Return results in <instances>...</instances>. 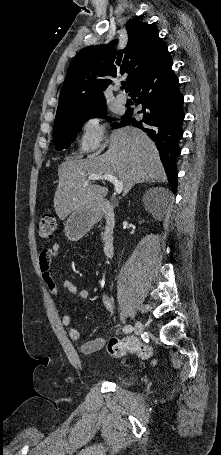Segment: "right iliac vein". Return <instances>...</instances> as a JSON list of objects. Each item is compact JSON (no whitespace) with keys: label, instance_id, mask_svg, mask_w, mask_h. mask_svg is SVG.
<instances>
[{"label":"right iliac vein","instance_id":"1","mask_svg":"<svg viewBox=\"0 0 221 455\" xmlns=\"http://www.w3.org/2000/svg\"><path fill=\"white\" fill-rule=\"evenodd\" d=\"M143 330H144L143 324L140 321L136 320L134 325V333L136 335H140L143 332Z\"/></svg>","mask_w":221,"mask_h":455}]
</instances>
